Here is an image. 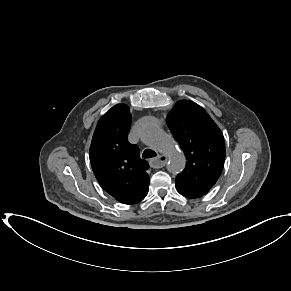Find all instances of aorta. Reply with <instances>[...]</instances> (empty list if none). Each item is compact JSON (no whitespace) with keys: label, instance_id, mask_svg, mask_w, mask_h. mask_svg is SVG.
Wrapping results in <instances>:
<instances>
[{"label":"aorta","instance_id":"aorta-1","mask_svg":"<svg viewBox=\"0 0 291 291\" xmlns=\"http://www.w3.org/2000/svg\"><path fill=\"white\" fill-rule=\"evenodd\" d=\"M142 141L168 157V169L177 173L184 169L186 158L176 147L172 137L163 132L158 126L150 124L141 132Z\"/></svg>","mask_w":291,"mask_h":291}]
</instances>
